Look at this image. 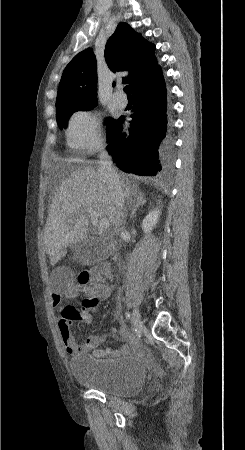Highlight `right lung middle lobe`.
<instances>
[{
    "label": "right lung middle lobe",
    "mask_w": 245,
    "mask_h": 450,
    "mask_svg": "<svg viewBox=\"0 0 245 450\" xmlns=\"http://www.w3.org/2000/svg\"><path fill=\"white\" fill-rule=\"evenodd\" d=\"M96 104H78V103H66V104H60L56 106V117H57V122L59 127H66L67 126V121L69 119V117L71 116V114H73L76 111H80V110H90L93 107H95ZM110 121H113L111 123V127H110V135H111V131L113 130L116 121L113 120L112 118H109Z\"/></svg>",
    "instance_id": "obj_1"
}]
</instances>
